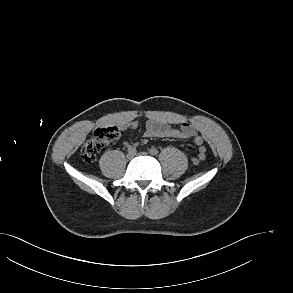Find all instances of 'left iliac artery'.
<instances>
[{"label":"left iliac artery","instance_id":"44dca946","mask_svg":"<svg viewBox=\"0 0 293 293\" xmlns=\"http://www.w3.org/2000/svg\"><path fill=\"white\" fill-rule=\"evenodd\" d=\"M158 152H159V151H158L156 148H151V149H150V154L153 155V156L157 155Z\"/></svg>","mask_w":293,"mask_h":293}]
</instances>
